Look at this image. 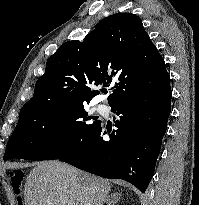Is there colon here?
Masks as SVG:
<instances>
[{"label": "colon", "instance_id": "1", "mask_svg": "<svg viewBox=\"0 0 199 205\" xmlns=\"http://www.w3.org/2000/svg\"><path fill=\"white\" fill-rule=\"evenodd\" d=\"M22 179H23V173L18 172V173L12 174V181H13L14 188H19V185H20Z\"/></svg>", "mask_w": 199, "mask_h": 205}]
</instances>
